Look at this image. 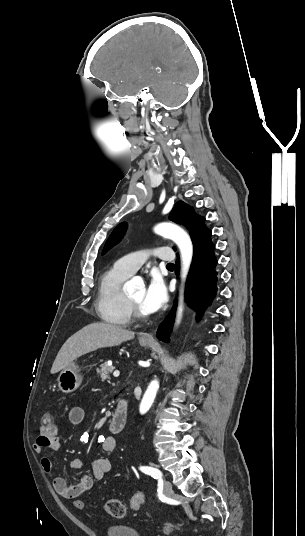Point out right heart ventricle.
Segmentation results:
<instances>
[{
	"mask_svg": "<svg viewBox=\"0 0 305 536\" xmlns=\"http://www.w3.org/2000/svg\"><path fill=\"white\" fill-rule=\"evenodd\" d=\"M129 277L115 266L102 275L96 298V309L102 320L121 327L132 323V313L122 290Z\"/></svg>",
	"mask_w": 305,
	"mask_h": 536,
	"instance_id": "right-heart-ventricle-1",
	"label": "right heart ventricle"
}]
</instances>
